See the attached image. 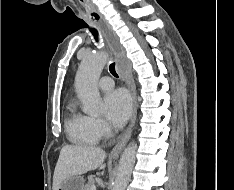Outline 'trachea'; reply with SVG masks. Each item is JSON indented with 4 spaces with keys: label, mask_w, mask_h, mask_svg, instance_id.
<instances>
[{
    "label": "trachea",
    "mask_w": 234,
    "mask_h": 190,
    "mask_svg": "<svg viewBox=\"0 0 234 190\" xmlns=\"http://www.w3.org/2000/svg\"><path fill=\"white\" fill-rule=\"evenodd\" d=\"M90 31L93 34L96 41H98V37H99L98 31L95 28H91ZM109 70L113 76L118 77V74L116 73V70H115V63L110 64Z\"/></svg>",
    "instance_id": "3493384b"
}]
</instances>
